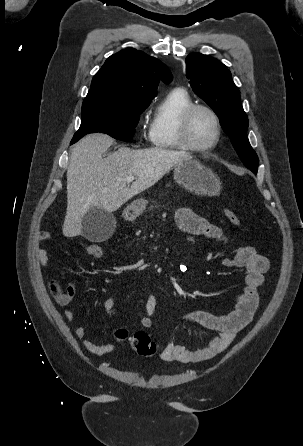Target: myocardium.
<instances>
[{
    "instance_id": "f54148a6",
    "label": "myocardium",
    "mask_w": 303,
    "mask_h": 446,
    "mask_svg": "<svg viewBox=\"0 0 303 446\" xmlns=\"http://www.w3.org/2000/svg\"><path fill=\"white\" fill-rule=\"evenodd\" d=\"M197 110H204L206 111L211 118L213 119L215 129H216V135L214 141L207 146H197L194 143H192L190 136H189V124L190 119L195 111ZM178 136L179 141L181 145L190 151L194 152H208L213 150L220 142L221 136H222V126L220 119L217 115V113L209 106L205 104L200 103H193L189 107H187L183 113L180 116L179 120V126H178Z\"/></svg>"
}]
</instances>
